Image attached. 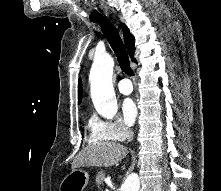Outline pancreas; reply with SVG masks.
<instances>
[{
    "label": "pancreas",
    "mask_w": 221,
    "mask_h": 191,
    "mask_svg": "<svg viewBox=\"0 0 221 191\" xmlns=\"http://www.w3.org/2000/svg\"><path fill=\"white\" fill-rule=\"evenodd\" d=\"M105 178V172H98L96 175V184L101 186L103 184V180Z\"/></svg>",
    "instance_id": "pancreas-1"
}]
</instances>
